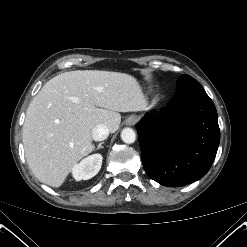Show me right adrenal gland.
I'll list each match as a JSON object with an SVG mask.
<instances>
[{"mask_svg":"<svg viewBox=\"0 0 247 247\" xmlns=\"http://www.w3.org/2000/svg\"><path fill=\"white\" fill-rule=\"evenodd\" d=\"M103 144H104V142L99 143L98 146L95 148V150H98L100 148H103V146H102Z\"/></svg>","mask_w":247,"mask_h":247,"instance_id":"right-adrenal-gland-1","label":"right adrenal gland"}]
</instances>
